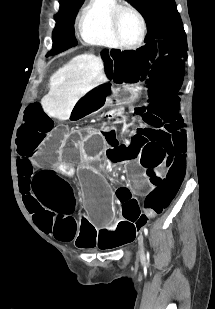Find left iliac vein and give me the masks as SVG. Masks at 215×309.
I'll return each instance as SVG.
<instances>
[{
    "mask_svg": "<svg viewBox=\"0 0 215 309\" xmlns=\"http://www.w3.org/2000/svg\"><path fill=\"white\" fill-rule=\"evenodd\" d=\"M143 235L141 234L139 237H138V245H139V249H138V254L140 256H143Z\"/></svg>",
    "mask_w": 215,
    "mask_h": 309,
    "instance_id": "obj_1",
    "label": "left iliac vein"
}]
</instances>
